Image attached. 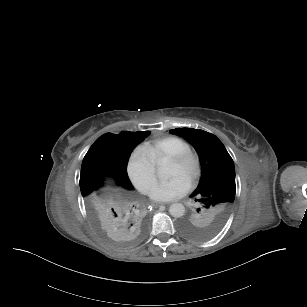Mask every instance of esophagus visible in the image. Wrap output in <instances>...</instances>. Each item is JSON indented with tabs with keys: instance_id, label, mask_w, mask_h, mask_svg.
Returning <instances> with one entry per match:
<instances>
[{
	"instance_id": "esophagus-1",
	"label": "esophagus",
	"mask_w": 307,
	"mask_h": 307,
	"mask_svg": "<svg viewBox=\"0 0 307 307\" xmlns=\"http://www.w3.org/2000/svg\"><path fill=\"white\" fill-rule=\"evenodd\" d=\"M153 207H155V208H158V207H160L162 204H160V203H152L151 204Z\"/></svg>"
}]
</instances>
